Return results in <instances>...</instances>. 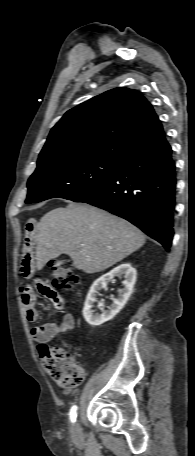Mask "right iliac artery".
Here are the masks:
<instances>
[{
  "label": "right iliac artery",
  "instance_id": "82829eb1",
  "mask_svg": "<svg viewBox=\"0 0 195 456\" xmlns=\"http://www.w3.org/2000/svg\"><path fill=\"white\" fill-rule=\"evenodd\" d=\"M69 415H70L71 422H74L75 418L77 416V406L76 405L72 406V408L70 409Z\"/></svg>",
  "mask_w": 195,
  "mask_h": 456
}]
</instances>
